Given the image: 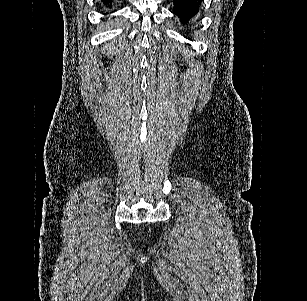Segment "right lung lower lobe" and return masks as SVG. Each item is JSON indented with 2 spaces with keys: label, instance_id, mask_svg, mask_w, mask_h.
<instances>
[{
  "label": "right lung lower lobe",
  "instance_id": "obj_1",
  "mask_svg": "<svg viewBox=\"0 0 307 301\" xmlns=\"http://www.w3.org/2000/svg\"><path fill=\"white\" fill-rule=\"evenodd\" d=\"M102 2H103V4L106 6V7H108V8H110V6H109V4H111V0H101Z\"/></svg>",
  "mask_w": 307,
  "mask_h": 301
}]
</instances>
